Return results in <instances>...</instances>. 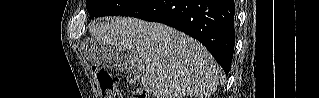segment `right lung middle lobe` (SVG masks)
Returning <instances> with one entry per match:
<instances>
[{
    "mask_svg": "<svg viewBox=\"0 0 319 98\" xmlns=\"http://www.w3.org/2000/svg\"><path fill=\"white\" fill-rule=\"evenodd\" d=\"M146 0H88L90 19L100 16L121 15Z\"/></svg>",
    "mask_w": 319,
    "mask_h": 98,
    "instance_id": "obj_1",
    "label": "right lung middle lobe"
}]
</instances>
